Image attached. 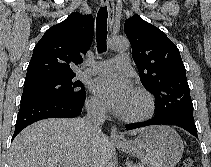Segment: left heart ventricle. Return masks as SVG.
Here are the masks:
<instances>
[{"instance_id": "left-heart-ventricle-1", "label": "left heart ventricle", "mask_w": 211, "mask_h": 167, "mask_svg": "<svg viewBox=\"0 0 211 167\" xmlns=\"http://www.w3.org/2000/svg\"><path fill=\"white\" fill-rule=\"evenodd\" d=\"M143 110V100L133 94L123 114L137 115L140 114Z\"/></svg>"}]
</instances>
